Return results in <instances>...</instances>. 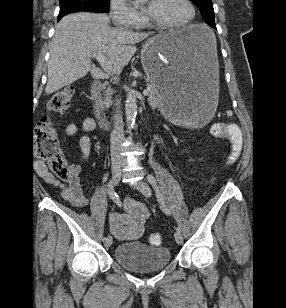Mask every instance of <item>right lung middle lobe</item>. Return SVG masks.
<instances>
[{"mask_svg": "<svg viewBox=\"0 0 286 308\" xmlns=\"http://www.w3.org/2000/svg\"><path fill=\"white\" fill-rule=\"evenodd\" d=\"M60 13L75 11L108 12L110 0H59Z\"/></svg>", "mask_w": 286, "mask_h": 308, "instance_id": "dd1d6c3e", "label": "right lung middle lobe"}]
</instances>
